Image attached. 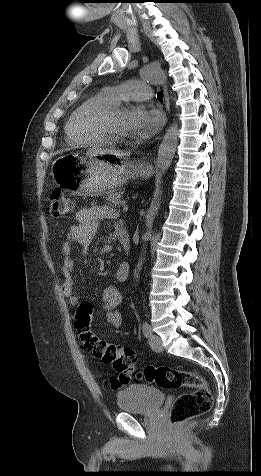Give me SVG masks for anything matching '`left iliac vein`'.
Instances as JSON below:
<instances>
[{
    "mask_svg": "<svg viewBox=\"0 0 261 476\" xmlns=\"http://www.w3.org/2000/svg\"><path fill=\"white\" fill-rule=\"evenodd\" d=\"M149 344L153 351L155 352L163 351L162 340L158 335L151 333V335L149 336Z\"/></svg>",
    "mask_w": 261,
    "mask_h": 476,
    "instance_id": "obj_1",
    "label": "left iliac vein"
}]
</instances>
